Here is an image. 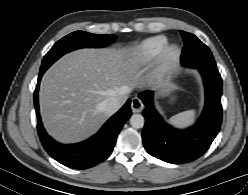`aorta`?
Segmentation results:
<instances>
[{
	"instance_id": "1",
	"label": "aorta",
	"mask_w": 248,
	"mask_h": 195,
	"mask_svg": "<svg viewBox=\"0 0 248 195\" xmlns=\"http://www.w3.org/2000/svg\"><path fill=\"white\" fill-rule=\"evenodd\" d=\"M145 119L141 114H133L130 118V124L133 128L139 129L144 126Z\"/></svg>"
}]
</instances>
